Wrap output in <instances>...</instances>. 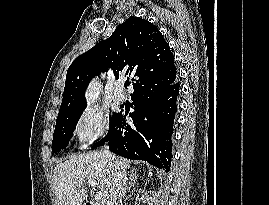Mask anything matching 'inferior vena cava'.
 <instances>
[{"label":"inferior vena cava","mask_w":269,"mask_h":205,"mask_svg":"<svg viewBox=\"0 0 269 205\" xmlns=\"http://www.w3.org/2000/svg\"><path fill=\"white\" fill-rule=\"evenodd\" d=\"M103 153L110 160L113 168L112 185L107 195L105 205H118L122 203L127 188V174L123 164L119 159H116L108 148H104Z\"/></svg>","instance_id":"obj_1"}]
</instances>
